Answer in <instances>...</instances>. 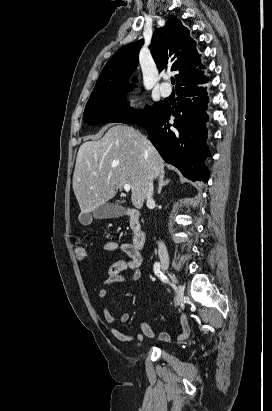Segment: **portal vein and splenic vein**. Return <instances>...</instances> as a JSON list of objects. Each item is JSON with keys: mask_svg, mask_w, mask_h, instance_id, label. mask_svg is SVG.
I'll list each match as a JSON object with an SVG mask.
<instances>
[{"mask_svg": "<svg viewBox=\"0 0 272 411\" xmlns=\"http://www.w3.org/2000/svg\"><path fill=\"white\" fill-rule=\"evenodd\" d=\"M123 188H124L125 192H129L130 189H131L129 184H124Z\"/></svg>", "mask_w": 272, "mask_h": 411, "instance_id": "1", "label": "portal vein and splenic vein"}]
</instances>
